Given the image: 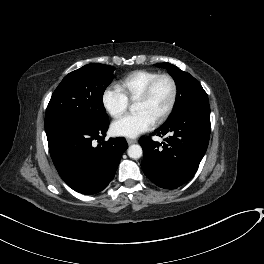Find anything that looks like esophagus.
Segmentation results:
<instances>
[{
	"mask_svg": "<svg viewBox=\"0 0 264 264\" xmlns=\"http://www.w3.org/2000/svg\"><path fill=\"white\" fill-rule=\"evenodd\" d=\"M127 143H128L129 145H131V144L136 143V140H135V139H130V138H128V139H127Z\"/></svg>",
	"mask_w": 264,
	"mask_h": 264,
	"instance_id": "obj_1",
	"label": "esophagus"
}]
</instances>
